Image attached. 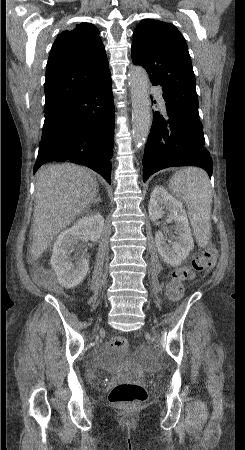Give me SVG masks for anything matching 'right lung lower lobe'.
Returning a JSON list of instances; mask_svg holds the SVG:
<instances>
[{
  "instance_id": "right-lung-lower-lobe-1",
  "label": "right lung lower lobe",
  "mask_w": 245,
  "mask_h": 450,
  "mask_svg": "<svg viewBox=\"0 0 245 450\" xmlns=\"http://www.w3.org/2000/svg\"><path fill=\"white\" fill-rule=\"evenodd\" d=\"M45 112L33 173L46 162L85 165L111 183L114 102L110 72Z\"/></svg>"
}]
</instances>
